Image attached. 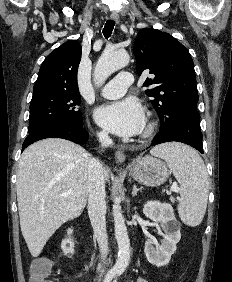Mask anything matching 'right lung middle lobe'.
I'll use <instances>...</instances> for the list:
<instances>
[{
  "label": "right lung middle lobe",
  "instance_id": "dd1d6c3e",
  "mask_svg": "<svg viewBox=\"0 0 232 282\" xmlns=\"http://www.w3.org/2000/svg\"><path fill=\"white\" fill-rule=\"evenodd\" d=\"M80 103L81 98L78 91L33 92L28 133L60 122L83 125L82 114L78 109Z\"/></svg>",
  "mask_w": 232,
  "mask_h": 282
}]
</instances>
